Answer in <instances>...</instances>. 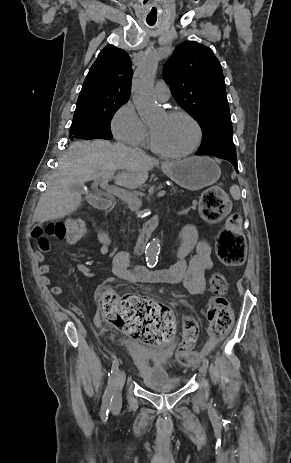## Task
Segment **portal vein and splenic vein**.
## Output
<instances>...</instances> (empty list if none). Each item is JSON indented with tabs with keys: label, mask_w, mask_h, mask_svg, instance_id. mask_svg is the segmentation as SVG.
<instances>
[{
	"label": "portal vein and splenic vein",
	"mask_w": 291,
	"mask_h": 463,
	"mask_svg": "<svg viewBox=\"0 0 291 463\" xmlns=\"http://www.w3.org/2000/svg\"><path fill=\"white\" fill-rule=\"evenodd\" d=\"M96 183H100L102 189L128 203L129 207L132 210H138L141 207V200L134 193L118 186L109 185L107 179H97ZM165 194L166 190H160L159 192H157V196H163Z\"/></svg>",
	"instance_id": "18ae733b"
}]
</instances>
